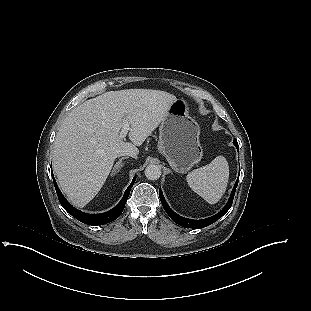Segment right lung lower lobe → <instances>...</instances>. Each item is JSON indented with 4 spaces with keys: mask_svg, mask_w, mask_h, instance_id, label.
<instances>
[{
    "mask_svg": "<svg viewBox=\"0 0 311 311\" xmlns=\"http://www.w3.org/2000/svg\"><path fill=\"white\" fill-rule=\"evenodd\" d=\"M52 178L54 180L53 174ZM136 177L133 178L131 184L129 187L126 189L123 198L121 201L111 210L105 212V213H100V214H87L84 212L79 211L78 209L74 208L69 202L65 199V197L62 195L60 192L55 180H54V186L57 192L58 199L62 205V207L73 217L78 219L79 221L88 224V225H103L106 223H109L111 221H114L117 219L120 214L122 213L125 203L128 199L130 190L135 182Z\"/></svg>",
    "mask_w": 311,
    "mask_h": 311,
    "instance_id": "98d812e1",
    "label": "right lung lower lobe"
}]
</instances>
